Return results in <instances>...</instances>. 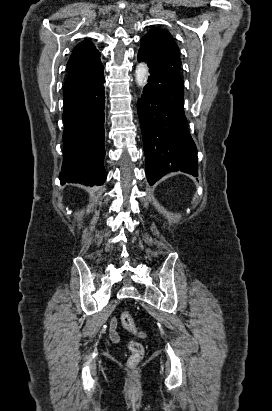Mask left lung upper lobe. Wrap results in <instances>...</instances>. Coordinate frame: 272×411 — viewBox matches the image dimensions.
I'll return each mask as SVG.
<instances>
[{
    "mask_svg": "<svg viewBox=\"0 0 272 411\" xmlns=\"http://www.w3.org/2000/svg\"><path fill=\"white\" fill-rule=\"evenodd\" d=\"M139 53H142L151 62L183 81L180 76L179 48L168 31L159 28L148 31L141 38Z\"/></svg>",
    "mask_w": 272,
    "mask_h": 411,
    "instance_id": "left-lung-upper-lobe-1",
    "label": "left lung upper lobe"
}]
</instances>
